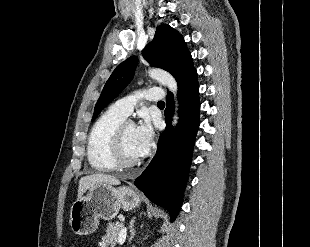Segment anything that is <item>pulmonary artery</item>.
<instances>
[{"mask_svg": "<svg viewBox=\"0 0 310 247\" xmlns=\"http://www.w3.org/2000/svg\"><path fill=\"white\" fill-rule=\"evenodd\" d=\"M163 91L160 87H150L144 90L142 93H134L124 98L119 99L113 105V107L125 117L129 116L137 103L141 98L150 101H160L163 98Z\"/></svg>", "mask_w": 310, "mask_h": 247, "instance_id": "e3ab8cb5", "label": "pulmonary artery"}]
</instances>
